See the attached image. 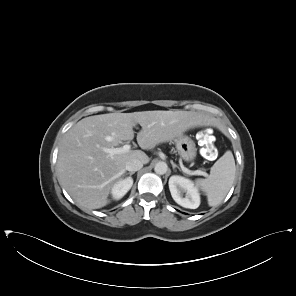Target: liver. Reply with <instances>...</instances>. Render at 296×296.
I'll return each mask as SVG.
<instances>
[{
  "mask_svg": "<svg viewBox=\"0 0 296 296\" xmlns=\"http://www.w3.org/2000/svg\"><path fill=\"white\" fill-rule=\"evenodd\" d=\"M215 122L208 114L193 111H142L108 113L83 118L61 142L57 172L60 185L76 204L88 209L107 205L113 185L125 173L130 159L147 164L150 158L141 150L110 156L105 148H115L134 138L133 127L139 124L137 143L145 150L181 136L190 128Z\"/></svg>",
  "mask_w": 296,
  "mask_h": 296,
  "instance_id": "obj_1",
  "label": "liver"
}]
</instances>
